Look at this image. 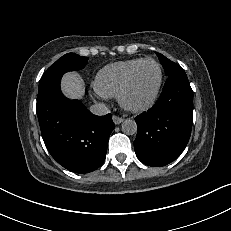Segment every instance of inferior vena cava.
Instances as JSON below:
<instances>
[{
  "label": "inferior vena cava",
  "instance_id": "1",
  "mask_svg": "<svg viewBox=\"0 0 231 231\" xmlns=\"http://www.w3.org/2000/svg\"><path fill=\"white\" fill-rule=\"evenodd\" d=\"M90 111L98 116L106 115L109 113L108 107L103 103H98L90 107Z\"/></svg>",
  "mask_w": 231,
  "mask_h": 231
}]
</instances>
